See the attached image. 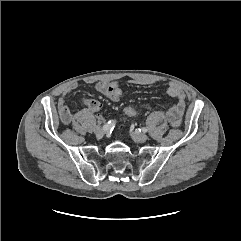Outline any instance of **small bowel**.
<instances>
[{
	"label": "small bowel",
	"instance_id": "obj_1",
	"mask_svg": "<svg viewBox=\"0 0 241 241\" xmlns=\"http://www.w3.org/2000/svg\"><path fill=\"white\" fill-rule=\"evenodd\" d=\"M139 84H149L150 82L143 81H132ZM78 84L73 82L69 84L60 96L58 101V113L60 121L63 124H70L73 120V111L67 105V96L77 88ZM95 89L107 96L112 102H118L120 97L123 95V89L120 84L116 81H98L95 83ZM166 93L175 98V103L168 108L166 115L172 126H179L185 111V93L175 83H169L166 87ZM83 105L92 112H98L102 108V104L91 98L82 99Z\"/></svg>",
	"mask_w": 241,
	"mask_h": 241
}]
</instances>
